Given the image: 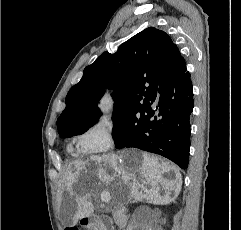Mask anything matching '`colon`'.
I'll return each instance as SVG.
<instances>
[{
    "instance_id": "1",
    "label": "colon",
    "mask_w": 241,
    "mask_h": 230,
    "mask_svg": "<svg viewBox=\"0 0 241 230\" xmlns=\"http://www.w3.org/2000/svg\"><path fill=\"white\" fill-rule=\"evenodd\" d=\"M67 230H78L77 228H68Z\"/></svg>"
}]
</instances>
